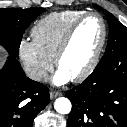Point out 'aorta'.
Returning <instances> with one entry per match:
<instances>
[{"label":"aorta","mask_w":127,"mask_h":127,"mask_svg":"<svg viewBox=\"0 0 127 127\" xmlns=\"http://www.w3.org/2000/svg\"><path fill=\"white\" fill-rule=\"evenodd\" d=\"M71 102L68 98L60 97L54 102L55 110L60 114H68L71 111Z\"/></svg>","instance_id":"1"}]
</instances>
